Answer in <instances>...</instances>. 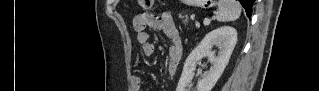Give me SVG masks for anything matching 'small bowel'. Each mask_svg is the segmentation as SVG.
Segmentation results:
<instances>
[{
  "label": "small bowel",
  "instance_id": "small-bowel-1",
  "mask_svg": "<svg viewBox=\"0 0 319 91\" xmlns=\"http://www.w3.org/2000/svg\"><path fill=\"white\" fill-rule=\"evenodd\" d=\"M134 27L137 30V43L142 55L145 57H151L155 50L154 45L149 41V34L146 32L147 28L161 30L167 36L170 42L167 51V72L170 76H174L182 57V40L172 16L169 13L160 15L140 13L134 19ZM138 64L139 59L137 58L133 67L136 68ZM131 81L134 91L143 90L144 80L141 76L133 75Z\"/></svg>",
  "mask_w": 319,
  "mask_h": 91
}]
</instances>
